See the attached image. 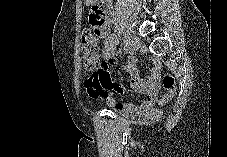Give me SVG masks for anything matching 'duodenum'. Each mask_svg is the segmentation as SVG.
I'll list each match as a JSON object with an SVG mask.
<instances>
[{"label": "duodenum", "mask_w": 227, "mask_h": 157, "mask_svg": "<svg viewBox=\"0 0 227 157\" xmlns=\"http://www.w3.org/2000/svg\"><path fill=\"white\" fill-rule=\"evenodd\" d=\"M109 0H103L101 4H94V9H100V16H92L91 25H99L102 32L106 31L107 23L103 18V9H107V2Z\"/></svg>", "instance_id": "duodenum-1"}]
</instances>
